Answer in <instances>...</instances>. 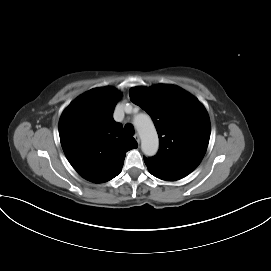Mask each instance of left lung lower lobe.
I'll use <instances>...</instances> for the list:
<instances>
[{"label":"left lung lower lobe","mask_w":271,"mask_h":271,"mask_svg":"<svg viewBox=\"0 0 271 271\" xmlns=\"http://www.w3.org/2000/svg\"><path fill=\"white\" fill-rule=\"evenodd\" d=\"M144 161L145 164L147 165L149 172L155 177L162 180L175 181L187 176L190 173V171L162 164L154 160H151L150 158L144 157Z\"/></svg>","instance_id":"1"}]
</instances>
